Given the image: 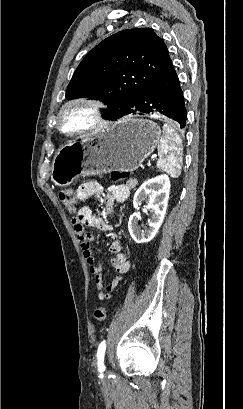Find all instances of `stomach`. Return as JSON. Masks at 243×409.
Returning <instances> with one entry per match:
<instances>
[{
	"label": "stomach",
	"mask_w": 243,
	"mask_h": 409,
	"mask_svg": "<svg viewBox=\"0 0 243 409\" xmlns=\"http://www.w3.org/2000/svg\"><path fill=\"white\" fill-rule=\"evenodd\" d=\"M161 138L153 121L135 117L118 120L103 132L69 141L56 153L51 180L68 186L78 176L134 171L150 156Z\"/></svg>",
	"instance_id": "stomach-1"
}]
</instances>
